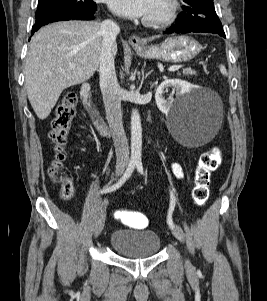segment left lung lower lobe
<instances>
[{
	"label": "left lung lower lobe",
	"instance_id": "1",
	"mask_svg": "<svg viewBox=\"0 0 267 301\" xmlns=\"http://www.w3.org/2000/svg\"><path fill=\"white\" fill-rule=\"evenodd\" d=\"M190 32H209L225 37V33H216L206 27L198 26V25H175L170 28H167L166 31L163 33L170 34V33H190Z\"/></svg>",
	"mask_w": 267,
	"mask_h": 301
}]
</instances>
